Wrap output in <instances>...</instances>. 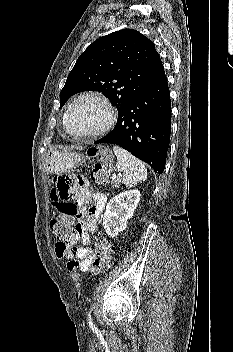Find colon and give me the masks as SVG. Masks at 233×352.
<instances>
[{
	"mask_svg": "<svg viewBox=\"0 0 233 352\" xmlns=\"http://www.w3.org/2000/svg\"><path fill=\"white\" fill-rule=\"evenodd\" d=\"M88 155L97 159V163L91 173L92 179L97 183L106 182L112 169V154L103 148L92 147L88 150ZM75 212L76 206L74 204H66L61 207V215L50 222L53 235L62 245H66L68 242L73 228V216ZM92 250L94 258L86 271L94 275L108 270L111 265L113 251L111 242L105 238H95Z\"/></svg>",
	"mask_w": 233,
	"mask_h": 352,
	"instance_id": "obj_1",
	"label": "colon"
}]
</instances>
